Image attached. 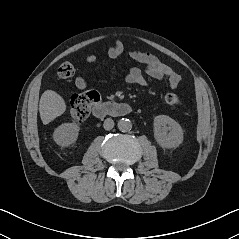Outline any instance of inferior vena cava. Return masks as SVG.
Masks as SVG:
<instances>
[{
  "label": "inferior vena cava",
  "instance_id": "1",
  "mask_svg": "<svg viewBox=\"0 0 239 239\" xmlns=\"http://www.w3.org/2000/svg\"><path fill=\"white\" fill-rule=\"evenodd\" d=\"M103 127L105 130H111L114 127V121L111 118H107L104 121Z\"/></svg>",
  "mask_w": 239,
  "mask_h": 239
}]
</instances>
